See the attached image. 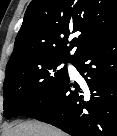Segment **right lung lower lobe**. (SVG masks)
<instances>
[{"label":"right lung lower lobe","instance_id":"obj_1","mask_svg":"<svg viewBox=\"0 0 117 136\" xmlns=\"http://www.w3.org/2000/svg\"><path fill=\"white\" fill-rule=\"evenodd\" d=\"M72 64L86 84L67 76L27 102L16 114L49 123L72 136H117V33Z\"/></svg>","mask_w":117,"mask_h":136}]
</instances>
